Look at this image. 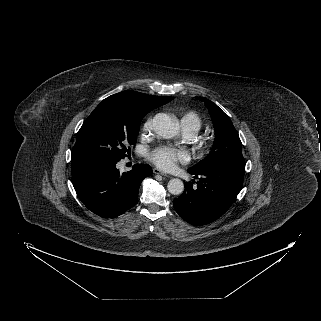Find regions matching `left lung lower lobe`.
Instances as JSON below:
<instances>
[{"label":"left lung lower lobe","instance_id":"1","mask_svg":"<svg viewBox=\"0 0 321 321\" xmlns=\"http://www.w3.org/2000/svg\"><path fill=\"white\" fill-rule=\"evenodd\" d=\"M197 187L185 183L183 194L174 199L176 212L192 225H206L221 217L235 201L243 184L245 162L225 163L192 172ZM195 181H193L194 183Z\"/></svg>","mask_w":321,"mask_h":321}]
</instances>
